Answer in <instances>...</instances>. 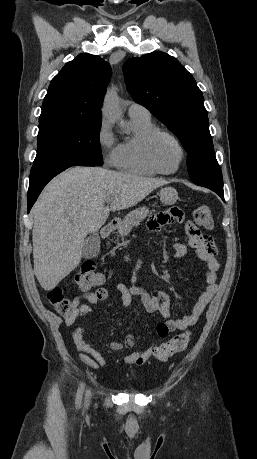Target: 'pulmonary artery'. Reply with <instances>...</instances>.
Segmentation results:
<instances>
[{
    "mask_svg": "<svg viewBox=\"0 0 257 459\" xmlns=\"http://www.w3.org/2000/svg\"><path fill=\"white\" fill-rule=\"evenodd\" d=\"M129 116L137 115V116H145L150 117V112L142 105L137 103H132L128 108Z\"/></svg>",
    "mask_w": 257,
    "mask_h": 459,
    "instance_id": "obj_1",
    "label": "pulmonary artery"
}]
</instances>
